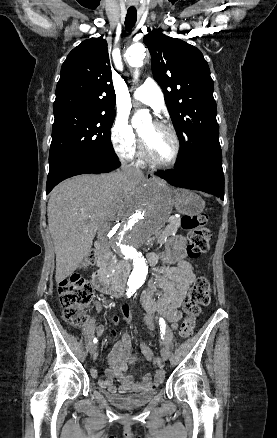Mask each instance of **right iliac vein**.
<instances>
[{"mask_svg":"<svg viewBox=\"0 0 277 438\" xmlns=\"http://www.w3.org/2000/svg\"><path fill=\"white\" fill-rule=\"evenodd\" d=\"M97 350V345L95 343L91 344L89 351L91 354L95 353Z\"/></svg>","mask_w":277,"mask_h":438,"instance_id":"right-iliac-vein-1","label":"right iliac vein"}]
</instances>
